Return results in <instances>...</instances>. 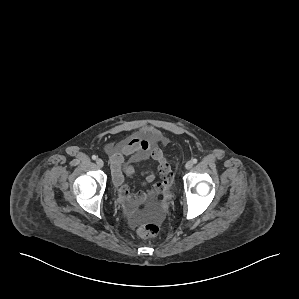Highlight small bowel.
I'll return each instance as SVG.
<instances>
[{
	"label": "small bowel",
	"instance_id": "small-bowel-1",
	"mask_svg": "<svg viewBox=\"0 0 299 299\" xmlns=\"http://www.w3.org/2000/svg\"><path fill=\"white\" fill-rule=\"evenodd\" d=\"M157 137V133L153 130L143 129L119 143L106 146L110 156L113 183L119 190L125 208L130 212H134L155 196L165 194L171 185V168L161 149L154 144ZM148 161H154L158 165L161 180L154 182L155 176L152 173L143 172L144 184L150 187L146 190L134 191L125 181V175L134 176L136 165Z\"/></svg>",
	"mask_w": 299,
	"mask_h": 299
}]
</instances>
